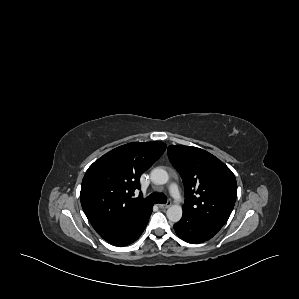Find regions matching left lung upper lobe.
<instances>
[{
  "label": "left lung upper lobe",
  "mask_w": 299,
  "mask_h": 299,
  "mask_svg": "<svg viewBox=\"0 0 299 299\" xmlns=\"http://www.w3.org/2000/svg\"><path fill=\"white\" fill-rule=\"evenodd\" d=\"M168 157L184 184L183 213L219 231L227 222L237 196L232 171L197 147L170 145Z\"/></svg>",
  "instance_id": "5c2ea615"
}]
</instances>
